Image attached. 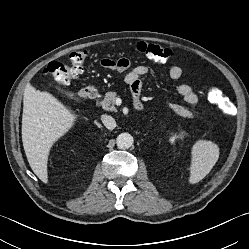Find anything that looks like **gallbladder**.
I'll use <instances>...</instances> for the list:
<instances>
[{
  "label": "gallbladder",
  "mask_w": 249,
  "mask_h": 249,
  "mask_svg": "<svg viewBox=\"0 0 249 249\" xmlns=\"http://www.w3.org/2000/svg\"><path fill=\"white\" fill-rule=\"evenodd\" d=\"M57 90H58L61 94L67 96V97L70 98V99H76V96H75L72 92H70V91H65L64 89H62V88H60V87H57Z\"/></svg>",
  "instance_id": "bac80fb5"
}]
</instances>
